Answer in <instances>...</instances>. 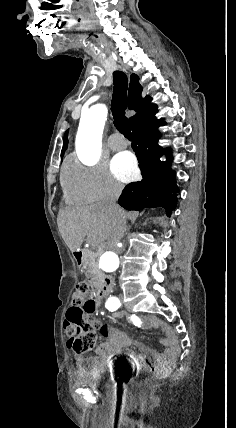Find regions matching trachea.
Here are the masks:
<instances>
[{"label": "trachea", "instance_id": "3493384b", "mask_svg": "<svg viewBox=\"0 0 236 428\" xmlns=\"http://www.w3.org/2000/svg\"><path fill=\"white\" fill-rule=\"evenodd\" d=\"M93 39L98 40L99 36L94 35ZM101 56L103 57L104 55L102 54ZM102 60L104 61L105 59L103 58ZM127 90V76L121 71H115L113 73V94L111 101V110L114 119V124L119 130V132L125 136V138L131 140L132 133L130 131L128 118L125 116Z\"/></svg>", "mask_w": 236, "mask_h": 428}]
</instances>
